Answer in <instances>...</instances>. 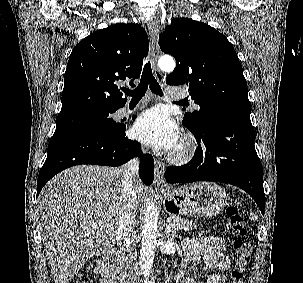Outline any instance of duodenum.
<instances>
[{"instance_id":"1","label":"duodenum","mask_w":303,"mask_h":283,"mask_svg":"<svg viewBox=\"0 0 303 283\" xmlns=\"http://www.w3.org/2000/svg\"><path fill=\"white\" fill-rule=\"evenodd\" d=\"M98 268L106 273L109 283H124V269L116 251H108Z\"/></svg>"}]
</instances>
